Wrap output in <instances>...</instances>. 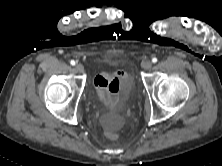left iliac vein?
Returning a JSON list of instances; mask_svg holds the SVG:
<instances>
[{
    "label": "left iliac vein",
    "mask_w": 222,
    "mask_h": 166,
    "mask_svg": "<svg viewBox=\"0 0 222 166\" xmlns=\"http://www.w3.org/2000/svg\"><path fill=\"white\" fill-rule=\"evenodd\" d=\"M142 67L145 69V70H148L152 67V62L150 60H147L145 61L143 64H142Z\"/></svg>",
    "instance_id": "1"
}]
</instances>
